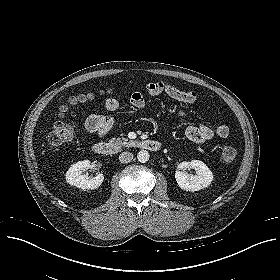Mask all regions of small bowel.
<instances>
[{"label": "small bowel", "mask_w": 280, "mask_h": 280, "mask_svg": "<svg viewBox=\"0 0 280 280\" xmlns=\"http://www.w3.org/2000/svg\"><path fill=\"white\" fill-rule=\"evenodd\" d=\"M146 92L150 96H158L164 94L176 101L192 104L199 98V94L192 90H182L166 82H149L146 86ZM131 105L138 109H144L146 106L144 97L141 93L135 92L130 98ZM104 108L107 112L114 113L119 108V102L114 98H108L105 100ZM178 116H188L189 113L184 110H180L177 113ZM115 123V117L113 115H102L99 113H92L86 119V127L91 129V126L95 127V130L105 135L110 131ZM231 133V129L227 124H220L216 127H211L205 123H199L196 126H188L185 134L187 140L192 144H200L208 141L213 137L227 138Z\"/></svg>", "instance_id": "1"}]
</instances>
